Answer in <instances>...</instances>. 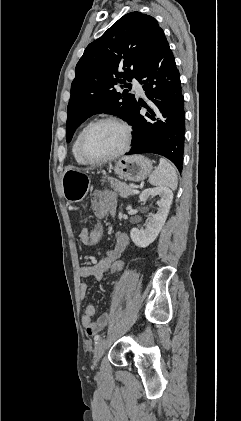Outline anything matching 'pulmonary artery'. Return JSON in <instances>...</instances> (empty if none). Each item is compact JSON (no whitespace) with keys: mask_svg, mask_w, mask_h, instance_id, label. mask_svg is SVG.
I'll return each mask as SVG.
<instances>
[{"mask_svg":"<svg viewBox=\"0 0 241 421\" xmlns=\"http://www.w3.org/2000/svg\"><path fill=\"white\" fill-rule=\"evenodd\" d=\"M132 89L139 95L143 94L142 85L137 80L132 81Z\"/></svg>","mask_w":241,"mask_h":421,"instance_id":"e3ab8cb5","label":"pulmonary artery"}]
</instances>
